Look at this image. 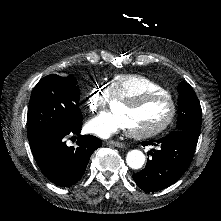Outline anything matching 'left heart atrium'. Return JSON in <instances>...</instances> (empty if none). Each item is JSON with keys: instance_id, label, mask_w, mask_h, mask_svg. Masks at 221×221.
<instances>
[{"instance_id": "39dd6f15", "label": "left heart atrium", "mask_w": 221, "mask_h": 221, "mask_svg": "<svg viewBox=\"0 0 221 221\" xmlns=\"http://www.w3.org/2000/svg\"><path fill=\"white\" fill-rule=\"evenodd\" d=\"M130 124L131 117L127 112L105 111L88 122V129L98 136L111 137L119 130L127 129Z\"/></svg>"}]
</instances>
